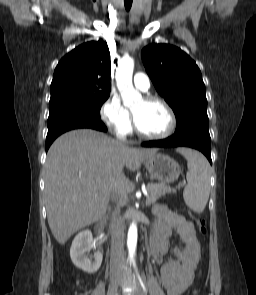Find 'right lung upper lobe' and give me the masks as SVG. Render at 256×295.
<instances>
[{
  "label": "right lung upper lobe",
  "instance_id": "1",
  "mask_svg": "<svg viewBox=\"0 0 256 295\" xmlns=\"http://www.w3.org/2000/svg\"><path fill=\"white\" fill-rule=\"evenodd\" d=\"M110 53L103 41L84 43L66 54L55 68L51 98L110 94Z\"/></svg>",
  "mask_w": 256,
  "mask_h": 295
}]
</instances>
